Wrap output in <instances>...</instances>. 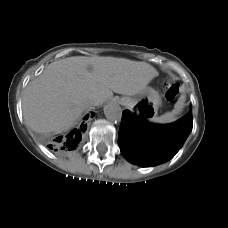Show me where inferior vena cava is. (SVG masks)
<instances>
[{
	"label": "inferior vena cava",
	"instance_id": "obj_1",
	"mask_svg": "<svg viewBox=\"0 0 228 228\" xmlns=\"http://www.w3.org/2000/svg\"><path fill=\"white\" fill-rule=\"evenodd\" d=\"M93 105V102L91 100H87L84 102V107L87 108V107H90Z\"/></svg>",
	"mask_w": 228,
	"mask_h": 228
}]
</instances>
